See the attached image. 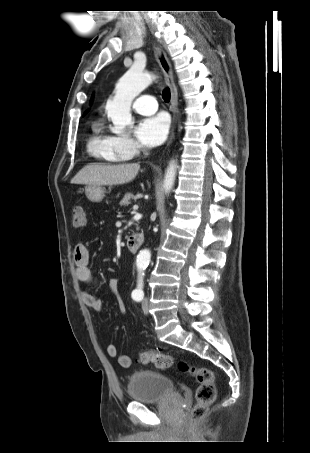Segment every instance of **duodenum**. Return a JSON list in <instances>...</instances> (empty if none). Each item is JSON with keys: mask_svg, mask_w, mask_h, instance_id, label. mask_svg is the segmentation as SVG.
I'll return each mask as SVG.
<instances>
[{"mask_svg": "<svg viewBox=\"0 0 310 453\" xmlns=\"http://www.w3.org/2000/svg\"><path fill=\"white\" fill-rule=\"evenodd\" d=\"M144 242V237L142 234H134L129 236L127 240V247L130 252L135 253L141 247Z\"/></svg>", "mask_w": 310, "mask_h": 453, "instance_id": "1", "label": "duodenum"}]
</instances>
